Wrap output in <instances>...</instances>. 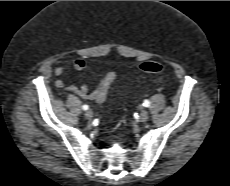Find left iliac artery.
<instances>
[{"instance_id": "obj_1", "label": "left iliac artery", "mask_w": 230, "mask_h": 186, "mask_svg": "<svg viewBox=\"0 0 230 186\" xmlns=\"http://www.w3.org/2000/svg\"><path fill=\"white\" fill-rule=\"evenodd\" d=\"M143 105L145 107H149L150 106V101L149 100H145L144 103H143Z\"/></svg>"}]
</instances>
